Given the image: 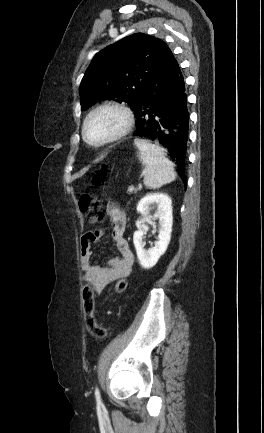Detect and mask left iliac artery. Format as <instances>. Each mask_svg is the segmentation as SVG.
Segmentation results:
<instances>
[{
    "label": "left iliac artery",
    "instance_id": "44dca946",
    "mask_svg": "<svg viewBox=\"0 0 264 433\" xmlns=\"http://www.w3.org/2000/svg\"><path fill=\"white\" fill-rule=\"evenodd\" d=\"M95 396H96L98 404H100L101 403L100 392H99V389L97 387L95 388Z\"/></svg>",
    "mask_w": 264,
    "mask_h": 433
}]
</instances>
